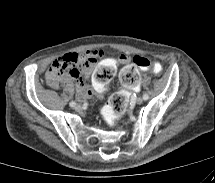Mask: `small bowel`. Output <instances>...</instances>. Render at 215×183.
Wrapping results in <instances>:
<instances>
[{"label":"small bowel","instance_id":"obj_1","mask_svg":"<svg viewBox=\"0 0 215 183\" xmlns=\"http://www.w3.org/2000/svg\"><path fill=\"white\" fill-rule=\"evenodd\" d=\"M103 55V51L97 48L89 49L83 53L65 54L55 62L73 63L75 65L74 72L62 74L55 78L52 68H50L46 73L47 83L50 87L57 89L60 82L69 83L73 79L76 81L80 100H85L91 96L97 99L106 98L111 94L114 86L112 77L122 71L124 64L130 61V57L122 54L119 57L113 56L108 59H102ZM99 61H101L100 65L95 68ZM89 76L88 85L90 89L84 81V77Z\"/></svg>","mask_w":215,"mask_h":183}]
</instances>
